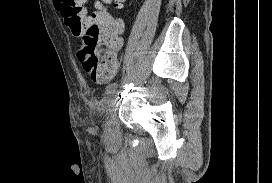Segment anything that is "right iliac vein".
<instances>
[{"mask_svg": "<svg viewBox=\"0 0 272 183\" xmlns=\"http://www.w3.org/2000/svg\"><path fill=\"white\" fill-rule=\"evenodd\" d=\"M115 93H116V91L106 94V96H104V98L102 99V104L105 106L109 105L113 101V97H114Z\"/></svg>", "mask_w": 272, "mask_h": 183, "instance_id": "right-iliac-vein-1", "label": "right iliac vein"}]
</instances>
